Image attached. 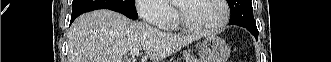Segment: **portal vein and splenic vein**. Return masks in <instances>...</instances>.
Returning <instances> with one entry per match:
<instances>
[{
	"label": "portal vein and splenic vein",
	"instance_id": "18ae733b",
	"mask_svg": "<svg viewBox=\"0 0 331 62\" xmlns=\"http://www.w3.org/2000/svg\"><path fill=\"white\" fill-rule=\"evenodd\" d=\"M130 53H131L132 56H136V55L139 54V49L138 48H132L130 50Z\"/></svg>",
	"mask_w": 331,
	"mask_h": 62
}]
</instances>
